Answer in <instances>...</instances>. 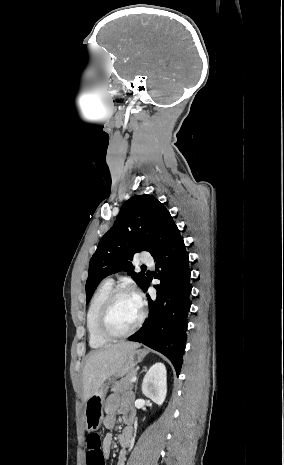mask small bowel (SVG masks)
Instances as JSON below:
<instances>
[{
  "mask_svg": "<svg viewBox=\"0 0 284 465\" xmlns=\"http://www.w3.org/2000/svg\"><path fill=\"white\" fill-rule=\"evenodd\" d=\"M131 400V394L121 396L117 393H112L105 401L104 408L106 415L104 418V426L109 430L113 429L116 425L118 416H122L125 423V427L118 436V442L121 446L118 465H124L128 451L132 445L133 430L131 423L134 419V411L130 407ZM111 447L112 435L108 433L102 444V450L105 457L110 455Z\"/></svg>",
  "mask_w": 284,
  "mask_h": 465,
  "instance_id": "c3829d8e",
  "label": "small bowel"
}]
</instances>
